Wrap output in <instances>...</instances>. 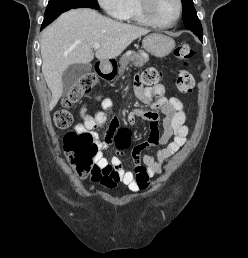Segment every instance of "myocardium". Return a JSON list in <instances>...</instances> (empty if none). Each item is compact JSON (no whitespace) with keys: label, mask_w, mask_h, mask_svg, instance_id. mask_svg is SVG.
Wrapping results in <instances>:
<instances>
[{"label":"myocardium","mask_w":248,"mask_h":258,"mask_svg":"<svg viewBox=\"0 0 248 258\" xmlns=\"http://www.w3.org/2000/svg\"><path fill=\"white\" fill-rule=\"evenodd\" d=\"M153 0H139V7L142 16L144 19L149 23V25L159 27V28H170L174 26L180 19L183 11V4L182 0H176L177 5H178V11L177 15L174 18V20L170 23H162L159 22L152 14L151 12V5H152Z\"/></svg>","instance_id":"f54148a6"}]
</instances>
